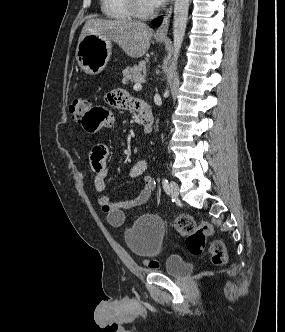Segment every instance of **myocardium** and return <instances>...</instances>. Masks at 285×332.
I'll list each match as a JSON object with an SVG mask.
<instances>
[{
    "mask_svg": "<svg viewBox=\"0 0 285 332\" xmlns=\"http://www.w3.org/2000/svg\"><path fill=\"white\" fill-rule=\"evenodd\" d=\"M129 4V8L134 17L139 19H147L155 14V9L145 8L140 0H127Z\"/></svg>",
    "mask_w": 285,
    "mask_h": 332,
    "instance_id": "myocardium-1",
    "label": "myocardium"
}]
</instances>
